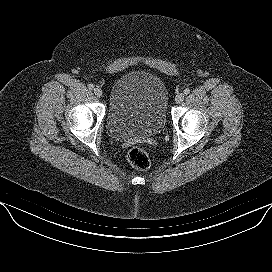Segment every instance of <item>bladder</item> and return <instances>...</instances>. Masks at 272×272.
Here are the masks:
<instances>
[{
    "label": "bladder",
    "instance_id": "bladder-1",
    "mask_svg": "<svg viewBox=\"0 0 272 272\" xmlns=\"http://www.w3.org/2000/svg\"><path fill=\"white\" fill-rule=\"evenodd\" d=\"M168 90L156 74L131 70L112 84L106 128L114 139L122 140L159 133L167 119Z\"/></svg>",
    "mask_w": 272,
    "mask_h": 272
}]
</instances>
